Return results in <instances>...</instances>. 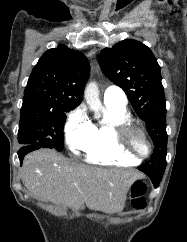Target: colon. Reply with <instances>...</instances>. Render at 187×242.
Listing matches in <instances>:
<instances>
[{
    "label": "colon",
    "instance_id": "1",
    "mask_svg": "<svg viewBox=\"0 0 187 242\" xmlns=\"http://www.w3.org/2000/svg\"><path fill=\"white\" fill-rule=\"evenodd\" d=\"M146 184L143 181H136L130 189L129 205L131 208L140 210L146 204Z\"/></svg>",
    "mask_w": 187,
    "mask_h": 242
}]
</instances>
